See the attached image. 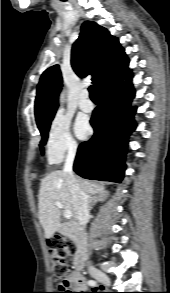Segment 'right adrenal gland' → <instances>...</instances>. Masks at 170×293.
<instances>
[{"label":"right adrenal gland","mask_w":170,"mask_h":293,"mask_svg":"<svg viewBox=\"0 0 170 293\" xmlns=\"http://www.w3.org/2000/svg\"><path fill=\"white\" fill-rule=\"evenodd\" d=\"M108 197V193L92 194L88 196L89 199V210L93 208V205L98 201H104Z\"/></svg>","instance_id":"2a0ac1e0"}]
</instances>
